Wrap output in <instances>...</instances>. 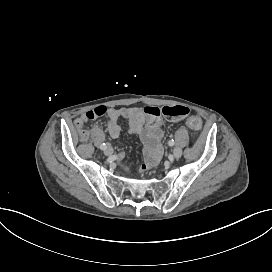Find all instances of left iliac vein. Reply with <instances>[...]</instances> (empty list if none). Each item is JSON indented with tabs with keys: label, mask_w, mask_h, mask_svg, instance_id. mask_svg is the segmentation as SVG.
I'll list each match as a JSON object with an SVG mask.
<instances>
[{
	"label": "left iliac vein",
	"mask_w": 272,
	"mask_h": 272,
	"mask_svg": "<svg viewBox=\"0 0 272 272\" xmlns=\"http://www.w3.org/2000/svg\"><path fill=\"white\" fill-rule=\"evenodd\" d=\"M182 156V150L178 147H175L173 150V157L179 159Z\"/></svg>",
	"instance_id": "left-iliac-vein-1"
}]
</instances>
